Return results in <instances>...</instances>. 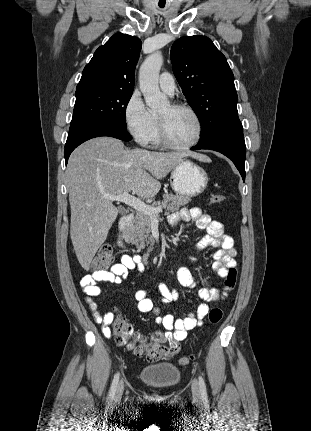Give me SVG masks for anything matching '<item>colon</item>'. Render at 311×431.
I'll return each instance as SVG.
<instances>
[{"label": "colon", "instance_id": "1", "mask_svg": "<svg viewBox=\"0 0 311 431\" xmlns=\"http://www.w3.org/2000/svg\"><path fill=\"white\" fill-rule=\"evenodd\" d=\"M224 197L220 194H212L210 196L211 204H221ZM113 248L110 244H103L96 253L91 268L95 271L106 269L112 262ZM237 280V270L235 267H230L227 271L225 279V287L231 291ZM223 312L220 308L214 307L208 313L209 322L217 324L221 321ZM103 320H109L112 333L116 338V342L120 346L132 351L136 355H145L148 361H157L160 359L170 358L179 350V345L172 339L165 336L153 337L147 341L143 336L135 332L132 326L112 311L106 313ZM194 359L193 356H184L179 360L180 365H187Z\"/></svg>", "mask_w": 311, "mask_h": 431}]
</instances>
